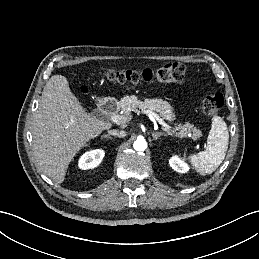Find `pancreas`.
<instances>
[{
    "label": "pancreas",
    "mask_w": 259,
    "mask_h": 259,
    "mask_svg": "<svg viewBox=\"0 0 259 259\" xmlns=\"http://www.w3.org/2000/svg\"><path fill=\"white\" fill-rule=\"evenodd\" d=\"M118 106L121 108V110L124 111V114L127 117L130 116L131 111H137L139 108L142 110L156 112L163 119L168 121H173L175 119L173 108L167 101H163L162 99L145 98L144 101H141L135 95L125 96L118 102ZM176 129L179 131L176 132V134L181 138L187 137L190 134L193 140H197L202 136V132L190 123H185L184 125L180 124L178 127H176ZM167 132L172 134L171 130H167Z\"/></svg>",
    "instance_id": "cf45deb5"
}]
</instances>
